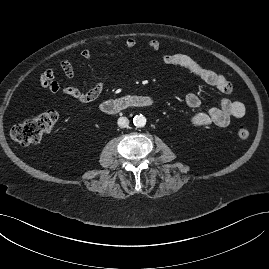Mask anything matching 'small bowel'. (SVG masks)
I'll return each mask as SVG.
<instances>
[{
	"label": "small bowel",
	"mask_w": 269,
	"mask_h": 269,
	"mask_svg": "<svg viewBox=\"0 0 269 269\" xmlns=\"http://www.w3.org/2000/svg\"><path fill=\"white\" fill-rule=\"evenodd\" d=\"M108 45L112 42L107 41ZM136 46V40L129 38L125 42V48L131 50ZM148 48L153 52H158L161 49V44L158 40H151L148 43ZM81 55L86 60H93L94 56L90 49L82 50ZM166 65L177 67L188 71L191 75L201 81L217 88L224 94H230L233 90L232 84L222 75L211 69L201 66L193 58L183 53H166L161 58ZM60 66L64 74L68 78L75 77V68L68 59H63ZM40 85L42 88L52 93H62L63 95L73 98L81 103H89L97 99L103 92L108 77L104 76L92 88L87 91H81L74 86L61 87L55 78L54 70L46 69L40 75ZM184 102L189 108H197L201 104L200 97L196 93L186 95ZM246 114V107L241 101H233L229 98H222L217 107L206 111H200L194 114L191 118V124L196 127L214 124L219 127H227L232 119L241 118Z\"/></svg>",
	"instance_id": "c3829d8e"
}]
</instances>
